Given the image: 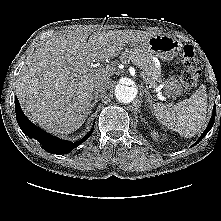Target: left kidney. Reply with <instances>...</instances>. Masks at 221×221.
<instances>
[{
  "mask_svg": "<svg viewBox=\"0 0 221 221\" xmlns=\"http://www.w3.org/2000/svg\"><path fill=\"white\" fill-rule=\"evenodd\" d=\"M152 137H153L154 140H157L158 139V134H156V132H153Z\"/></svg>",
  "mask_w": 221,
  "mask_h": 221,
  "instance_id": "left-kidney-1",
  "label": "left kidney"
}]
</instances>
